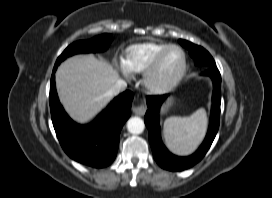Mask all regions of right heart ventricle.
Returning a JSON list of instances; mask_svg holds the SVG:
<instances>
[{"mask_svg":"<svg viewBox=\"0 0 272 198\" xmlns=\"http://www.w3.org/2000/svg\"><path fill=\"white\" fill-rule=\"evenodd\" d=\"M169 45L159 41L131 45L123 54L122 66L128 73L142 74L147 71L157 55Z\"/></svg>","mask_w":272,"mask_h":198,"instance_id":"1","label":"right heart ventricle"}]
</instances>
